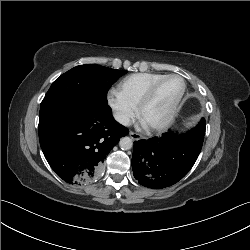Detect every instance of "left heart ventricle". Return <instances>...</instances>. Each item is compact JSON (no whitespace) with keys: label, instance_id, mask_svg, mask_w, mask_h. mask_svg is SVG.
Segmentation results:
<instances>
[{"label":"left heart ventricle","instance_id":"obj_1","mask_svg":"<svg viewBox=\"0 0 250 250\" xmlns=\"http://www.w3.org/2000/svg\"><path fill=\"white\" fill-rule=\"evenodd\" d=\"M182 89V82L171 78L163 82L157 89L154 98L144 110L142 120L145 124L160 122L169 112Z\"/></svg>","mask_w":250,"mask_h":250}]
</instances>
